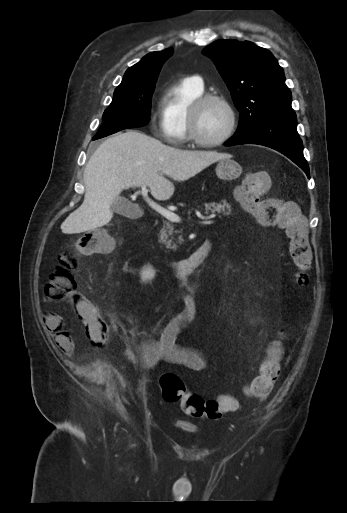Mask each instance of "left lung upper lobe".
<instances>
[{
	"label": "left lung upper lobe",
	"instance_id": "left-lung-upper-lobe-1",
	"mask_svg": "<svg viewBox=\"0 0 347 513\" xmlns=\"http://www.w3.org/2000/svg\"><path fill=\"white\" fill-rule=\"evenodd\" d=\"M231 92L240 121L236 134L275 117H294L283 69L265 48L252 42L218 40L203 49Z\"/></svg>",
	"mask_w": 347,
	"mask_h": 513
}]
</instances>
